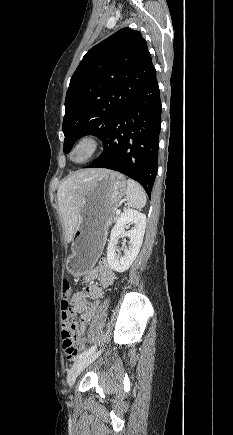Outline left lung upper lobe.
Listing matches in <instances>:
<instances>
[{"label": "left lung upper lobe", "instance_id": "5c2ea615", "mask_svg": "<svg viewBox=\"0 0 233 435\" xmlns=\"http://www.w3.org/2000/svg\"><path fill=\"white\" fill-rule=\"evenodd\" d=\"M141 33L122 28L91 48L71 77L63 119L64 152L82 135L106 137L113 121L155 73Z\"/></svg>", "mask_w": 233, "mask_h": 435}]
</instances>
